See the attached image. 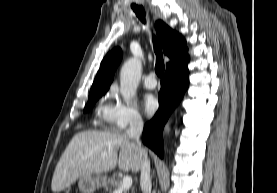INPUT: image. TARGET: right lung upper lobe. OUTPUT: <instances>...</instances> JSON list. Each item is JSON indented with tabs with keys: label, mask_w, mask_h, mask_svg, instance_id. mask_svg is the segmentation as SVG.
I'll list each match as a JSON object with an SVG mask.
<instances>
[{
	"label": "right lung upper lobe",
	"mask_w": 277,
	"mask_h": 193,
	"mask_svg": "<svg viewBox=\"0 0 277 193\" xmlns=\"http://www.w3.org/2000/svg\"><path fill=\"white\" fill-rule=\"evenodd\" d=\"M155 29L165 55L170 58L167 67L188 53L186 41L181 34L173 31L161 20L155 23ZM121 59L122 51L120 48L113 49L104 57L91 87L90 94L105 92L109 88L113 81L114 71L121 62Z\"/></svg>",
	"instance_id": "cb5924a9"
}]
</instances>
